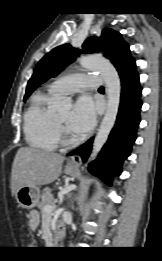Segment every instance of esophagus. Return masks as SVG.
I'll return each mask as SVG.
<instances>
[{
    "mask_svg": "<svg viewBox=\"0 0 162 261\" xmlns=\"http://www.w3.org/2000/svg\"><path fill=\"white\" fill-rule=\"evenodd\" d=\"M80 163H81L80 156L73 155L71 157V160L68 162V166L73 167V168H77V167H79Z\"/></svg>",
    "mask_w": 162,
    "mask_h": 261,
    "instance_id": "1",
    "label": "esophagus"
}]
</instances>
